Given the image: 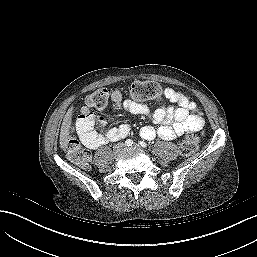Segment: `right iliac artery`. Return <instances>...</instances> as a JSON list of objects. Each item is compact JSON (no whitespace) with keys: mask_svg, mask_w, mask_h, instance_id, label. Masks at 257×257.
<instances>
[{"mask_svg":"<svg viewBox=\"0 0 257 257\" xmlns=\"http://www.w3.org/2000/svg\"><path fill=\"white\" fill-rule=\"evenodd\" d=\"M132 144H133V141L131 139H128L125 141V145L128 147L132 146Z\"/></svg>","mask_w":257,"mask_h":257,"instance_id":"82829eb1","label":"right iliac artery"}]
</instances>
